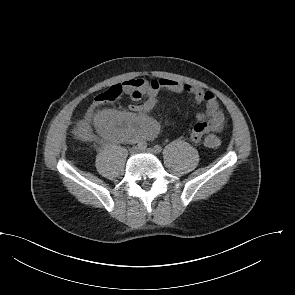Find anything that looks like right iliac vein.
<instances>
[{
  "label": "right iliac vein",
  "mask_w": 295,
  "mask_h": 295,
  "mask_svg": "<svg viewBox=\"0 0 295 295\" xmlns=\"http://www.w3.org/2000/svg\"><path fill=\"white\" fill-rule=\"evenodd\" d=\"M138 149L139 148L137 146H133V147L130 148V152L131 153H136L138 151Z\"/></svg>",
  "instance_id": "obj_1"
}]
</instances>
